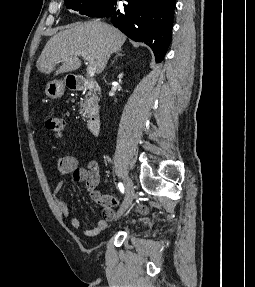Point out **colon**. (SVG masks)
Here are the masks:
<instances>
[{
    "instance_id": "5ec220e1",
    "label": "colon",
    "mask_w": 255,
    "mask_h": 287,
    "mask_svg": "<svg viewBox=\"0 0 255 287\" xmlns=\"http://www.w3.org/2000/svg\"><path fill=\"white\" fill-rule=\"evenodd\" d=\"M46 127L55 135L60 136L64 130V121L56 115H48L45 120Z\"/></svg>"
}]
</instances>
